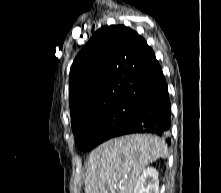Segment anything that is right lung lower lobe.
<instances>
[{
  "mask_svg": "<svg viewBox=\"0 0 221 193\" xmlns=\"http://www.w3.org/2000/svg\"><path fill=\"white\" fill-rule=\"evenodd\" d=\"M171 110L167 83L161 72L142 100V109L129 124L113 137L130 133H153L170 143Z\"/></svg>",
  "mask_w": 221,
  "mask_h": 193,
  "instance_id": "1",
  "label": "right lung lower lobe"
}]
</instances>
